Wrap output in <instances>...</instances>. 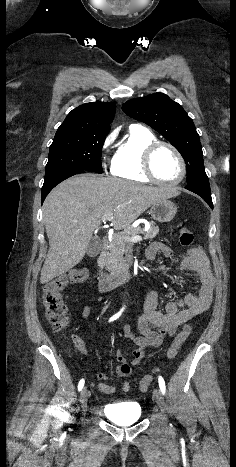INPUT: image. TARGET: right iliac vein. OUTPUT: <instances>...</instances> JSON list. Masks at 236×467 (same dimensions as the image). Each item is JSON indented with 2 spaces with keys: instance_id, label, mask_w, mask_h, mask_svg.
I'll list each match as a JSON object with an SVG mask.
<instances>
[{
  "instance_id": "1",
  "label": "right iliac vein",
  "mask_w": 236,
  "mask_h": 467,
  "mask_svg": "<svg viewBox=\"0 0 236 467\" xmlns=\"http://www.w3.org/2000/svg\"><path fill=\"white\" fill-rule=\"evenodd\" d=\"M88 397H89V392H88L87 388L85 387V388L82 389L81 394H80V398H79V401H80L81 406H82L83 409L86 407Z\"/></svg>"
}]
</instances>
